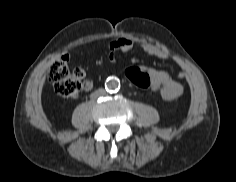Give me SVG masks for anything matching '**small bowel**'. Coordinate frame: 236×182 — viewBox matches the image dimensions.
I'll return each instance as SVG.
<instances>
[{"instance_id": "1", "label": "small bowel", "mask_w": 236, "mask_h": 182, "mask_svg": "<svg viewBox=\"0 0 236 182\" xmlns=\"http://www.w3.org/2000/svg\"><path fill=\"white\" fill-rule=\"evenodd\" d=\"M141 47L145 53L160 59H167L169 56L166 49L148 41L142 42ZM133 48L134 42L131 39L125 37L117 38L110 43L109 59L113 61L117 52H129ZM69 58L70 55L68 53L62 56L65 61L69 60ZM142 69L147 71L151 77V89L159 91L164 100L172 101L183 94L184 87L181 81L184 78V74L182 72L177 75L175 80L166 71L148 67H142ZM92 87L93 82L91 80L86 79L83 81L84 90H90Z\"/></svg>"}]
</instances>
